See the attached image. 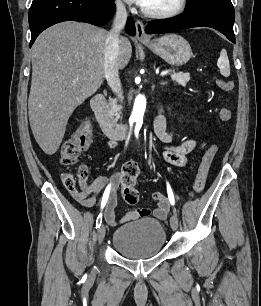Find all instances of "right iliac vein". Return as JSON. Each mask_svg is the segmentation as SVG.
Instances as JSON below:
<instances>
[{"instance_id": "1", "label": "right iliac vein", "mask_w": 261, "mask_h": 306, "mask_svg": "<svg viewBox=\"0 0 261 306\" xmlns=\"http://www.w3.org/2000/svg\"><path fill=\"white\" fill-rule=\"evenodd\" d=\"M104 237H105V227H104V225H101L97 229V239H98V242L101 243L103 241Z\"/></svg>"}]
</instances>
